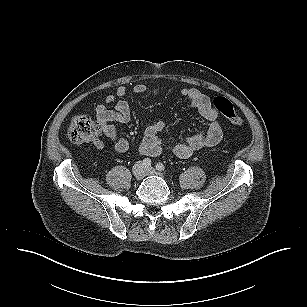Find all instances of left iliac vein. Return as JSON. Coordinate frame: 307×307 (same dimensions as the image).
I'll return each instance as SVG.
<instances>
[{
	"label": "left iliac vein",
	"mask_w": 307,
	"mask_h": 307,
	"mask_svg": "<svg viewBox=\"0 0 307 307\" xmlns=\"http://www.w3.org/2000/svg\"><path fill=\"white\" fill-rule=\"evenodd\" d=\"M145 173H146V175H156V176H159V177H163V178H164V175L161 174L160 172H158V171H157L156 169H154L153 167H148V168H146Z\"/></svg>",
	"instance_id": "4c4485c4"
}]
</instances>
